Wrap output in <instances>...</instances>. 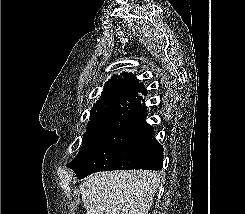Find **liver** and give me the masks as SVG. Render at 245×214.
I'll list each match as a JSON object with an SVG mask.
<instances>
[{
  "instance_id": "1",
  "label": "liver",
  "mask_w": 245,
  "mask_h": 214,
  "mask_svg": "<svg viewBox=\"0 0 245 214\" xmlns=\"http://www.w3.org/2000/svg\"><path fill=\"white\" fill-rule=\"evenodd\" d=\"M161 175L155 171L98 172L82 181L86 214H148Z\"/></svg>"
}]
</instances>
